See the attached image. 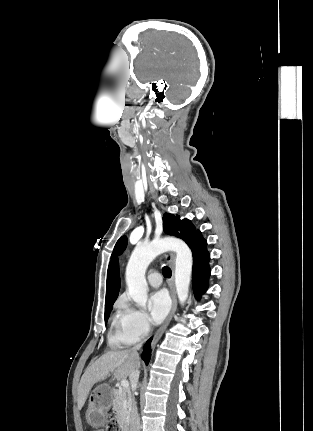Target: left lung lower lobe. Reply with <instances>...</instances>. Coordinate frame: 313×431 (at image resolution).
<instances>
[{
  "label": "left lung lower lobe",
  "mask_w": 313,
  "mask_h": 431,
  "mask_svg": "<svg viewBox=\"0 0 313 431\" xmlns=\"http://www.w3.org/2000/svg\"><path fill=\"white\" fill-rule=\"evenodd\" d=\"M188 246L191 248L193 254V289L195 296L199 298L208 287L210 255L206 249L207 242L202 237L200 231Z\"/></svg>",
  "instance_id": "obj_1"
}]
</instances>
